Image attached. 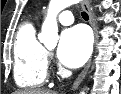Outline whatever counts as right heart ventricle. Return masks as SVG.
Returning a JSON list of instances; mask_svg holds the SVG:
<instances>
[{
  "mask_svg": "<svg viewBox=\"0 0 121 94\" xmlns=\"http://www.w3.org/2000/svg\"><path fill=\"white\" fill-rule=\"evenodd\" d=\"M14 79L19 87L37 88L47 77V51L32 23H24L14 43Z\"/></svg>",
  "mask_w": 121,
  "mask_h": 94,
  "instance_id": "e07e8e85",
  "label": "right heart ventricle"
}]
</instances>
